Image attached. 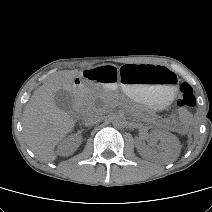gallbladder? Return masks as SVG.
<instances>
[{"instance_id":"obj_1","label":"gallbladder","mask_w":212,"mask_h":212,"mask_svg":"<svg viewBox=\"0 0 212 212\" xmlns=\"http://www.w3.org/2000/svg\"><path fill=\"white\" fill-rule=\"evenodd\" d=\"M73 94L71 91L60 89L54 94V102L56 106L65 112L70 113L73 107Z\"/></svg>"}]
</instances>
